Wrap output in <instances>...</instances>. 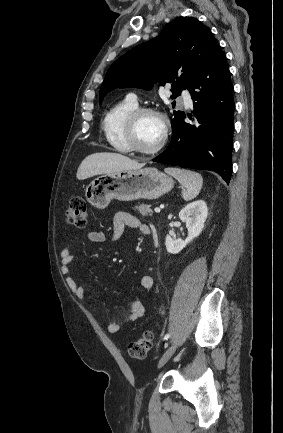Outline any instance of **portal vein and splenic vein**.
<instances>
[{"label": "portal vein and splenic vein", "instance_id": "1", "mask_svg": "<svg viewBox=\"0 0 283 433\" xmlns=\"http://www.w3.org/2000/svg\"><path fill=\"white\" fill-rule=\"evenodd\" d=\"M155 212H160L161 208H154Z\"/></svg>", "mask_w": 283, "mask_h": 433}]
</instances>
